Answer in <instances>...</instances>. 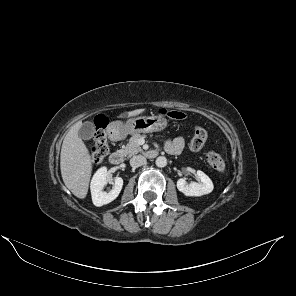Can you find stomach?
I'll return each instance as SVG.
<instances>
[{"label":"stomach","instance_id":"obj_1","mask_svg":"<svg viewBox=\"0 0 296 296\" xmlns=\"http://www.w3.org/2000/svg\"><path fill=\"white\" fill-rule=\"evenodd\" d=\"M167 119L158 116H140L127 120L114 122L116 130L121 134H139L161 131L167 127Z\"/></svg>","mask_w":296,"mask_h":296}]
</instances>
